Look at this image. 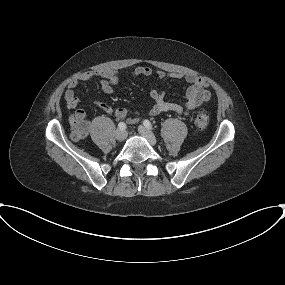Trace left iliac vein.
<instances>
[{"label": "left iliac vein", "instance_id": "left-iliac-vein-1", "mask_svg": "<svg viewBox=\"0 0 285 285\" xmlns=\"http://www.w3.org/2000/svg\"><path fill=\"white\" fill-rule=\"evenodd\" d=\"M138 132H139L140 135L145 137L152 146L156 145V142H157L156 138H155V136L153 135V133L149 129H147L146 127L140 125L138 127Z\"/></svg>", "mask_w": 285, "mask_h": 285}]
</instances>
